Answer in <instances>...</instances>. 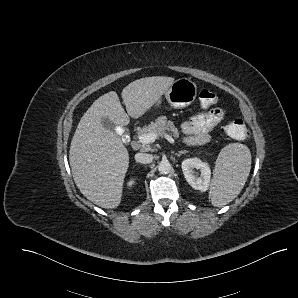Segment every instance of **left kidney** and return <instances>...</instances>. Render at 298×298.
I'll use <instances>...</instances> for the list:
<instances>
[{
  "label": "left kidney",
  "mask_w": 298,
  "mask_h": 298,
  "mask_svg": "<svg viewBox=\"0 0 298 298\" xmlns=\"http://www.w3.org/2000/svg\"><path fill=\"white\" fill-rule=\"evenodd\" d=\"M183 175L188 184L195 190L206 192L211 179V169L207 162L197 157L184 159L181 163ZM194 169L200 170L197 175Z\"/></svg>",
  "instance_id": "5707ae66"
}]
</instances>
